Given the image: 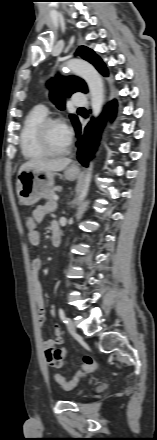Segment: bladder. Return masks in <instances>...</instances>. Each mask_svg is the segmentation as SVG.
<instances>
[{
	"instance_id": "bladder-1",
	"label": "bladder",
	"mask_w": 157,
	"mask_h": 440,
	"mask_svg": "<svg viewBox=\"0 0 157 440\" xmlns=\"http://www.w3.org/2000/svg\"><path fill=\"white\" fill-rule=\"evenodd\" d=\"M85 394V390L77 391L73 394V399H80Z\"/></svg>"
}]
</instances>
